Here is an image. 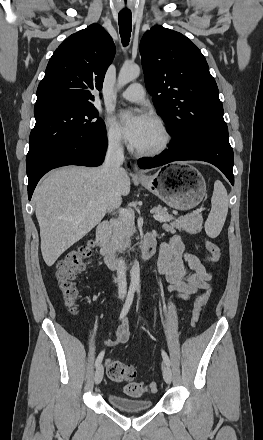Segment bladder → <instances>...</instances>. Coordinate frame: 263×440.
Segmentation results:
<instances>
[{"label": "bladder", "instance_id": "obj_1", "mask_svg": "<svg viewBox=\"0 0 263 440\" xmlns=\"http://www.w3.org/2000/svg\"><path fill=\"white\" fill-rule=\"evenodd\" d=\"M108 400L115 408L126 412H138L149 410L153 401L147 398H130L117 393H109Z\"/></svg>", "mask_w": 263, "mask_h": 440}]
</instances>
